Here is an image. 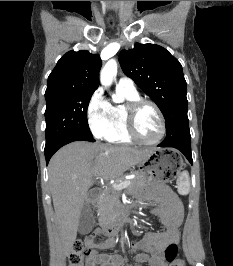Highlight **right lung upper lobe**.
Listing matches in <instances>:
<instances>
[{"instance_id":"right-lung-upper-lobe-1","label":"right lung upper lobe","mask_w":233,"mask_h":266,"mask_svg":"<svg viewBox=\"0 0 233 266\" xmlns=\"http://www.w3.org/2000/svg\"><path fill=\"white\" fill-rule=\"evenodd\" d=\"M101 59L88 51H69L48 77L45 98L75 92H94L99 85Z\"/></svg>"}]
</instances>
